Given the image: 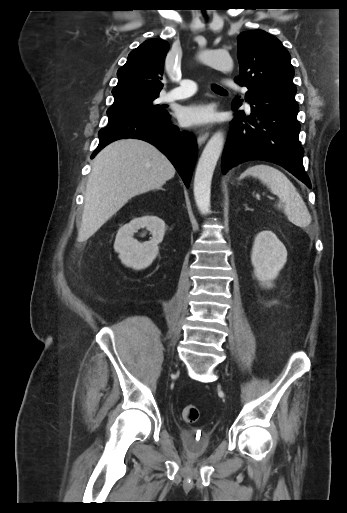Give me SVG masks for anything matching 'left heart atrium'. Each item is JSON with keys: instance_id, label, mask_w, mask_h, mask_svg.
Returning <instances> with one entry per match:
<instances>
[{"instance_id": "39dd6f15", "label": "left heart atrium", "mask_w": 347, "mask_h": 513, "mask_svg": "<svg viewBox=\"0 0 347 513\" xmlns=\"http://www.w3.org/2000/svg\"><path fill=\"white\" fill-rule=\"evenodd\" d=\"M212 117L211 109L204 104L186 106L180 113V121L186 127L201 125Z\"/></svg>"}]
</instances>
